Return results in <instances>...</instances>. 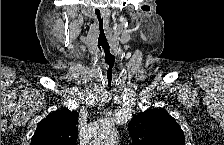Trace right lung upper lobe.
Segmentation results:
<instances>
[{
  "label": "right lung upper lobe",
  "mask_w": 224,
  "mask_h": 145,
  "mask_svg": "<svg viewBox=\"0 0 224 145\" xmlns=\"http://www.w3.org/2000/svg\"><path fill=\"white\" fill-rule=\"evenodd\" d=\"M78 116L68 109L50 113L38 123L31 145H75Z\"/></svg>",
  "instance_id": "right-lung-upper-lobe-1"
}]
</instances>
